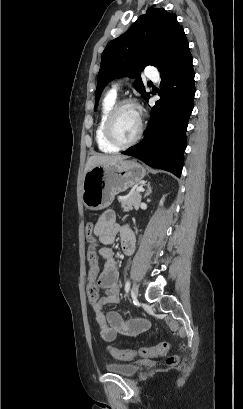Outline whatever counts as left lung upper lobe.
I'll list each match as a JSON object with an SVG mask.
<instances>
[{"mask_svg":"<svg viewBox=\"0 0 243 409\" xmlns=\"http://www.w3.org/2000/svg\"><path fill=\"white\" fill-rule=\"evenodd\" d=\"M187 43L183 27L174 13L150 7L130 29L108 43L101 57L97 78L95 109L104 87L122 76L136 77L135 89L146 99L140 71L147 65L165 69L181 47Z\"/></svg>","mask_w":243,"mask_h":409,"instance_id":"1","label":"left lung upper lobe"}]
</instances>
